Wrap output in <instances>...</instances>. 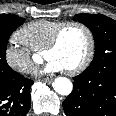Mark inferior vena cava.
Returning <instances> with one entry per match:
<instances>
[{
	"instance_id": "obj_1",
	"label": "inferior vena cava",
	"mask_w": 116,
	"mask_h": 116,
	"mask_svg": "<svg viewBox=\"0 0 116 116\" xmlns=\"http://www.w3.org/2000/svg\"><path fill=\"white\" fill-rule=\"evenodd\" d=\"M32 70H33V71H35V70H36V68H34V67H33V68H32Z\"/></svg>"
}]
</instances>
